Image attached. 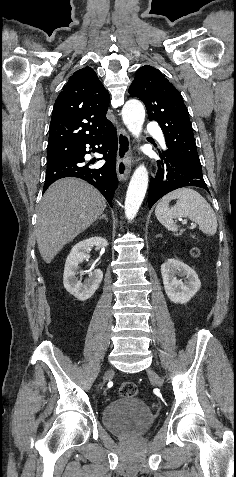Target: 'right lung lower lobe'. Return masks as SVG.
Here are the masks:
<instances>
[{
    "label": "right lung lower lobe",
    "instance_id": "1",
    "mask_svg": "<svg viewBox=\"0 0 236 477\" xmlns=\"http://www.w3.org/2000/svg\"><path fill=\"white\" fill-rule=\"evenodd\" d=\"M86 144H89L90 148L93 149H95V145L99 146L98 152L103 154V159L106 160L102 167L95 169L89 167L91 162L85 163L84 156L90 153V151H86ZM117 148V133L113 124L110 123L104 130L82 143L66 159L47 165L43 191L60 178L77 177L95 186L112 206L114 191L118 186L115 162Z\"/></svg>",
    "mask_w": 236,
    "mask_h": 477
}]
</instances>
